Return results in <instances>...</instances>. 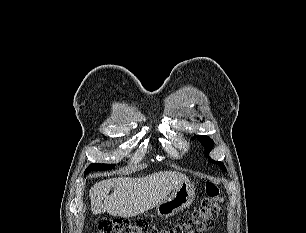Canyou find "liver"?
Returning a JSON list of instances; mask_svg holds the SVG:
<instances>
[{"instance_id":"1","label":"liver","mask_w":306,"mask_h":233,"mask_svg":"<svg viewBox=\"0 0 306 233\" xmlns=\"http://www.w3.org/2000/svg\"><path fill=\"white\" fill-rule=\"evenodd\" d=\"M189 178L179 172L160 171L142 178L119 177L102 180L89 191L93 214L107 212L114 217H133L162 202ZM113 188V193L109 192Z\"/></svg>"}]
</instances>
